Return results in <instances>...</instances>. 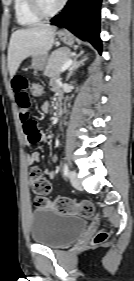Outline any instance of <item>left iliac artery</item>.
Returning <instances> with one entry per match:
<instances>
[{
	"mask_svg": "<svg viewBox=\"0 0 134 281\" xmlns=\"http://www.w3.org/2000/svg\"><path fill=\"white\" fill-rule=\"evenodd\" d=\"M68 165L65 163L63 166V175L66 177L68 175Z\"/></svg>",
	"mask_w": 134,
	"mask_h": 281,
	"instance_id": "left-iliac-artery-1",
	"label": "left iliac artery"
}]
</instances>
